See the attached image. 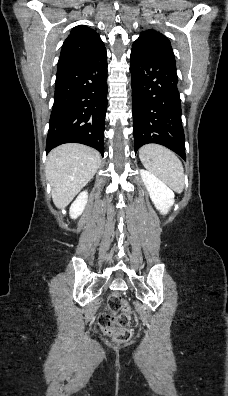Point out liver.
<instances>
[{
  "label": "liver",
  "mask_w": 228,
  "mask_h": 396,
  "mask_svg": "<svg viewBox=\"0 0 228 396\" xmlns=\"http://www.w3.org/2000/svg\"><path fill=\"white\" fill-rule=\"evenodd\" d=\"M100 164L99 152L82 144H63L53 149L47 158L45 174L55 206L65 208L93 178Z\"/></svg>",
  "instance_id": "obj_1"
}]
</instances>
